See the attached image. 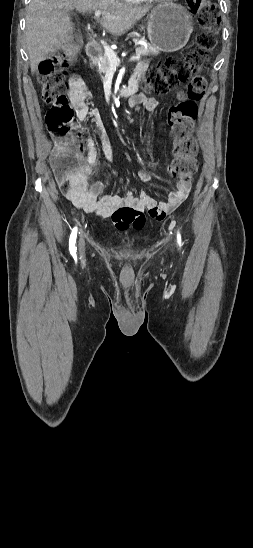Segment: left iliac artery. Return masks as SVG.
Listing matches in <instances>:
<instances>
[{
  "label": "left iliac artery",
  "instance_id": "44dca946",
  "mask_svg": "<svg viewBox=\"0 0 253 548\" xmlns=\"http://www.w3.org/2000/svg\"><path fill=\"white\" fill-rule=\"evenodd\" d=\"M177 242H178V245L181 246V244H182L181 243V235H180L179 232L177 233Z\"/></svg>",
  "mask_w": 253,
  "mask_h": 548
}]
</instances>
